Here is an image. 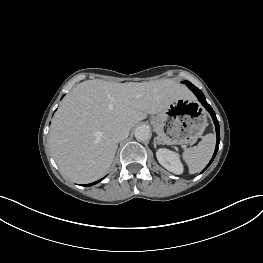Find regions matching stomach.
Wrapping results in <instances>:
<instances>
[{
	"label": "stomach",
	"instance_id": "stomach-1",
	"mask_svg": "<svg viewBox=\"0 0 263 263\" xmlns=\"http://www.w3.org/2000/svg\"><path fill=\"white\" fill-rule=\"evenodd\" d=\"M151 123L163 143L187 144L202 135L207 127V116L198 102L189 96L171 103L153 116Z\"/></svg>",
	"mask_w": 263,
	"mask_h": 263
}]
</instances>
